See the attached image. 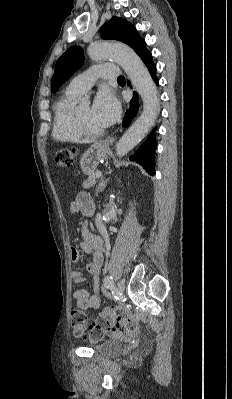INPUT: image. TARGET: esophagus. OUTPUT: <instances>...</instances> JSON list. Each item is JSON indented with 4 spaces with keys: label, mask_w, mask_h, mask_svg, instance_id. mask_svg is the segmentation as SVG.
Instances as JSON below:
<instances>
[{
    "label": "esophagus",
    "mask_w": 232,
    "mask_h": 399,
    "mask_svg": "<svg viewBox=\"0 0 232 399\" xmlns=\"http://www.w3.org/2000/svg\"><path fill=\"white\" fill-rule=\"evenodd\" d=\"M114 141H115V137L114 136H110V137H107L103 142L109 146Z\"/></svg>",
    "instance_id": "esophagus-1"
}]
</instances>
